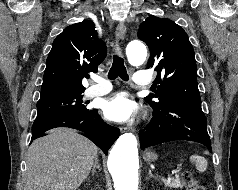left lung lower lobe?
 Segmentation results:
<instances>
[{
	"label": "left lung lower lobe",
	"instance_id": "left-lung-lower-lobe-1",
	"mask_svg": "<svg viewBox=\"0 0 238 190\" xmlns=\"http://www.w3.org/2000/svg\"><path fill=\"white\" fill-rule=\"evenodd\" d=\"M173 140H188L211 149L201 103L178 101L153 108L151 122L140 131L141 149Z\"/></svg>",
	"mask_w": 238,
	"mask_h": 190
}]
</instances>
